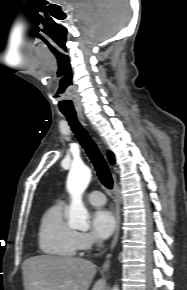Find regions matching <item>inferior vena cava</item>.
Segmentation results:
<instances>
[{"mask_svg":"<svg viewBox=\"0 0 187 290\" xmlns=\"http://www.w3.org/2000/svg\"><path fill=\"white\" fill-rule=\"evenodd\" d=\"M98 243H101V240H98Z\"/></svg>","mask_w":187,"mask_h":290,"instance_id":"obj_1","label":"inferior vena cava"}]
</instances>
